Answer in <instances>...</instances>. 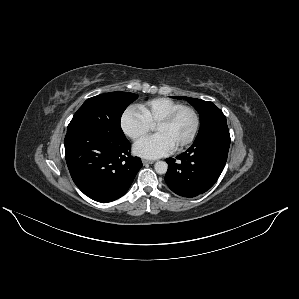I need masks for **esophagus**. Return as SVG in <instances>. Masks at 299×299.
I'll return each instance as SVG.
<instances>
[{
  "mask_svg": "<svg viewBox=\"0 0 299 299\" xmlns=\"http://www.w3.org/2000/svg\"><path fill=\"white\" fill-rule=\"evenodd\" d=\"M154 162H155L154 160H147V159H143V160H142V163H143L144 165L153 164Z\"/></svg>",
  "mask_w": 299,
  "mask_h": 299,
  "instance_id": "esophagus-1",
  "label": "esophagus"
}]
</instances>
